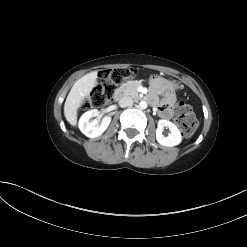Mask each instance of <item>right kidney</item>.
Returning <instances> with one entry per match:
<instances>
[{
    "label": "right kidney",
    "mask_w": 247,
    "mask_h": 247,
    "mask_svg": "<svg viewBox=\"0 0 247 247\" xmlns=\"http://www.w3.org/2000/svg\"><path fill=\"white\" fill-rule=\"evenodd\" d=\"M99 115V111L97 109H93L90 111L85 112L79 120V129L80 131L89 138H95L100 136L105 132V130L108 128L111 117L105 116L102 119V122L100 125H98V120L94 119L93 121H90V118L96 117Z\"/></svg>",
    "instance_id": "1"
}]
</instances>
